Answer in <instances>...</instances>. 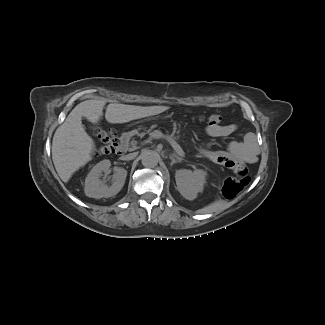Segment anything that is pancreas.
<instances>
[{
    "mask_svg": "<svg viewBox=\"0 0 325 325\" xmlns=\"http://www.w3.org/2000/svg\"><path fill=\"white\" fill-rule=\"evenodd\" d=\"M148 131H149L148 129L145 131L143 130L142 134L137 135V137H136L137 139L136 138L134 139L135 141L131 143V146H135V144L136 145L138 144L136 140L140 141V140H142L143 136H145V137L148 136V134H149Z\"/></svg>",
    "mask_w": 325,
    "mask_h": 325,
    "instance_id": "1",
    "label": "pancreas"
}]
</instances>
